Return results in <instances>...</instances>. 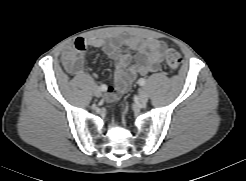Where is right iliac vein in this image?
<instances>
[{"label":"right iliac vein","mask_w":246,"mask_h":181,"mask_svg":"<svg viewBox=\"0 0 246 181\" xmlns=\"http://www.w3.org/2000/svg\"><path fill=\"white\" fill-rule=\"evenodd\" d=\"M94 94L96 97H101L102 96V91L100 88H95Z\"/></svg>","instance_id":"63e3f726"}]
</instances>
